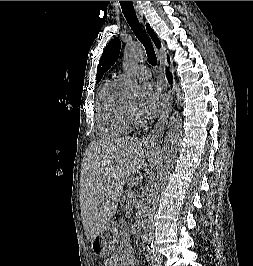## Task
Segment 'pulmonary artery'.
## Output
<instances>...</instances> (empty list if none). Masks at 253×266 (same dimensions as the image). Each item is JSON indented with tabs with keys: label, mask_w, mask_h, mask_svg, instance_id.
Returning <instances> with one entry per match:
<instances>
[{
	"label": "pulmonary artery",
	"mask_w": 253,
	"mask_h": 266,
	"mask_svg": "<svg viewBox=\"0 0 253 266\" xmlns=\"http://www.w3.org/2000/svg\"><path fill=\"white\" fill-rule=\"evenodd\" d=\"M129 74L135 78L142 79V80H147L151 77V71L148 67L146 66H136L134 67ZM129 74H120L117 78L118 80L122 81L126 76Z\"/></svg>",
	"instance_id": "pulmonary-artery-1"
}]
</instances>
